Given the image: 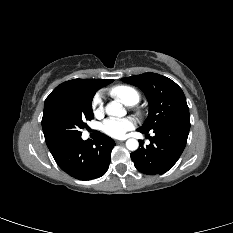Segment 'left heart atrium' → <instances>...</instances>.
<instances>
[{
  "label": "left heart atrium",
  "mask_w": 233,
  "mask_h": 233,
  "mask_svg": "<svg viewBox=\"0 0 233 233\" xmlns=\"http://www.w3.org/2000/svg\"><path fill=\"white\" fill-rule=\"evenodd\" d=\"M134 126L135 122L131 118L107 119L102 125V130L105 134L113 138H123Z\"/></svg>",
  "instance_id": "39dd6f15"
}]
</instances>
